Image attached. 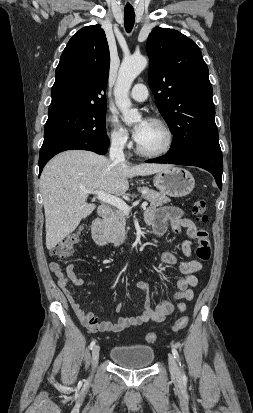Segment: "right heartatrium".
<instances>
[{
	"label": "right heart atrium",
	"mask_w": 253,
	"mask_h": 413,
	"mask_svg": "<svg viewBox=\"0 0 253 413\" xmlns=\"http://www.w3.org/2000/svg\"><path fill=\"white\" fill-rule=\"evenodd\" d=\"M106 123L108 126V137L111 145L119 149L128 147L130 143L129 135L117 124L116 119L113 117H108L106 119Z\"/></svg>",
	"instance_id": "obj_1"
}]
</instances>
